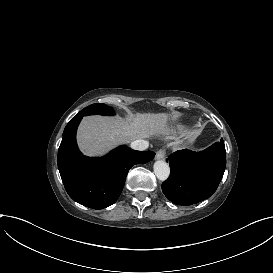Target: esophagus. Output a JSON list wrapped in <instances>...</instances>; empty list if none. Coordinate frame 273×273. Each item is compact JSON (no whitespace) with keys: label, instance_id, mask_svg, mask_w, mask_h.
<instances>
[{"label":"esophagus","instance_id":"34e87169","mask_svg":"<svg viewBox=\"0 0 273 273\" xmlns=\"http://www.w3.org/2000/svg\"><path fill=\"white\" fill-rule=\"evenodd\" d=\"M165 155H166V152L164 150H159L157 153H156V156H155V159L156 160H162L165 158Z\"/></svg>","mask_w":273,"mask_h":273}]
</instances>
